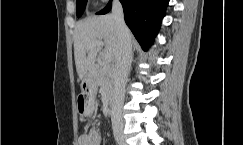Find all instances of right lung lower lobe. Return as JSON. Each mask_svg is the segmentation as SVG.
<instances>
[{
    "label": "right lung lower lobe",
    "mask_w": 243,
    "mask_h": 145,
    "mask_svg": "<svg viewBox=\"0 0 243 145\" xmlns=\"http://www.w3.org/2000/svg\"><path fill=\"white\" fill-rule=\"evenodd\" d=\"M120 2L126 24L141 47L144 50L148 49L160 28L169 0H120ZM110 9L111 0L98 14H106Z\"/></svg>",
    "instance_id": "98d812e1"
}]
</instances>
